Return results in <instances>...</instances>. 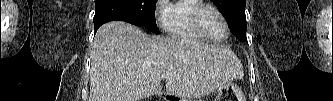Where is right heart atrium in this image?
Returning <instances> with one entry per match:
<instances>
[{
    "instance_id": "right-heart-atrium-1",
    "label": "right heart atrium",
    "mask_w": 333,
    "mask_h": 101,
    "mask_svg": "<svg viewBox=\"0 0 333 101\" xmlns=\"http://www.w3.org/2000/svg\"><path fill=\"white\" fill-rule=\"evenodd\" d=\"M168 10H169V7H168L167 1H164V0L157 1L156 9H155L157 22L160 26H162L164 28L166 27Z\"/></svg>"
}]
</instances>
